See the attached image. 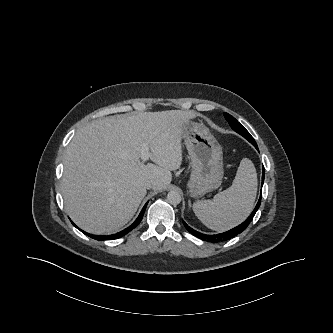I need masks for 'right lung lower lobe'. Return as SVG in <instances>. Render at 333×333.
Instances as JSON below:
<instances>
[{"mask_svg": "<svg viewBox=\"0 0 333 333\" xmlns=\"http://www.w3.org/2000/svg\"><path fill=\"white\" fill-rule=\"evenodd\" d=\"M146 206H147V203L145 204V206L143 207L142 211L140 212L139 216L137 217V219L129 226L127 227L126 229L116 233V234H113V235H108V236H105V235H92V234H89V233H86L82 230H80L81 232H83L84 234H86L87 236L95 239V240H99V241H103V240H109V239H118L124 235H126L127 233H129L131 230H133L142 220L143 218V215H144V212H145V209H146ZM72 222V221H71ZM73 223V222H72ZM73 225L78 228L74 223Z\"/></svg>", "mask_w": 333, "mask_h": 333, "instance_id": "right-lung-lower-lobe-1", "label": "right lung lower lobe"}]
</instances>
